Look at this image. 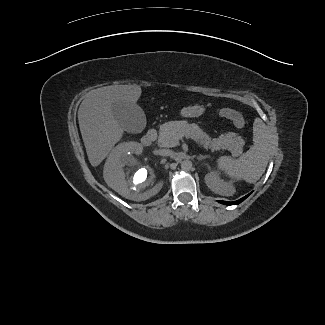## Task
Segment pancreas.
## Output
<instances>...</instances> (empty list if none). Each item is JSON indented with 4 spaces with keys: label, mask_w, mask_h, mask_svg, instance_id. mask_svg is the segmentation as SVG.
Listing matches in <instances>:
<instances>
[{
    "label": "pancreas",
    "mask_w": 325,
    "mask_h": 325,
    "mask_svg": "<svg viewBox=\"0 0 325 325\" xmlns=\"http://www.w3.org/2000/svg\"><path fill=\"white\" fill-rule=\"evenodd\" d=\"M183 136L199 140L212 151L227 149L235 157L242 153L245 144L243 138L234 132L221 134L219 138H211L197 124H188L187 121H172L160 126L158 145L160 147H175Z\"/></svg>",
    "instance_id": "obj_1"
}]
</instances>
